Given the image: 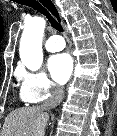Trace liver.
I'll return each mask as SVG.
<instances>
[{
  "mask_svg": "<svg viewBox=\"0 0 117 136\" xmlns=\"http://www.w3.org/2000/svg\"><path fill=\"white\" fill-rule=\"evenodd\" d=\"M48 119L39 106L14 110L5 118L1 136H43Z\"/></svg>",
  "mask_w": 117,
  "mask_h": 136,
  "instance_id": "1",
  "label": "liver"
}]
</instances>
